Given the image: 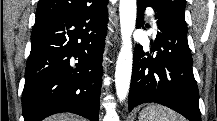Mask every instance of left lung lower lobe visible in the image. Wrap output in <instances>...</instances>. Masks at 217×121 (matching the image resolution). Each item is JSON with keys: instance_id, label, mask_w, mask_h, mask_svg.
I'll list each match as a JSON object with an SVG mask.
<instances>
[{"instance_id": "obj_1", "label": "left lung lower lobe", "mask_w": 217, "mask_h": 121, "mask_svg": "<svg viewBox=\"0 0 217 121\" xmlns=\"http://www.w3.org/2000/svg\"><path fill=\"white\" fill-rule=\"evenodd\" d=\"M155 10L158 33L151 51L135 46L129 91V111L135 106L154 102L165 105L190 121H201L199 93L192 71V56L187 28L152 0H137V25L144 26V10Z\"/></svg>"}]
</instances>
